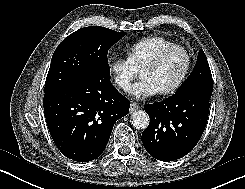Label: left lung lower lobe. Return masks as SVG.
<instances>
[{
    "instance_id": "1",
    "label": "left lung lower lobe",
    "mask_w": 245,
    "mask_h": 189,
    "mask_svg": "<svg viewBox=\"0 0 245 189\" xmlns=\"http://www.w3.org/2000/svg\"><path fill=\"white\" fill-rule=\"evenodd\" d=\"M211 94L200 90L175 93L146 105L149 126L142 133L146 151L155 159L173 161L198 143L207 123Z\"/></svg>"
}]
</instances>
